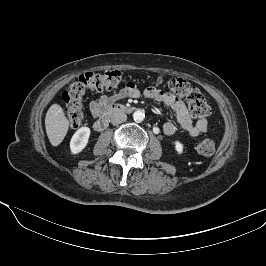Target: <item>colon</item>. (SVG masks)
Returning a JSON list of instances; mask_svg holds the SVG:
<instances>
[{
    "instance_id": "colon-1",
    "label": "colon",
    "mask_w": 266,
    "mask_h": 266,
    "mask_svg": "<svg viewBox=\"0 0 266 266\" xmlns=\"http://www.w3.org/2000/svg\"><path fill=\"white\" fill-rule=\"evenodd\" d=\"M123 78L122 72L110 70L102 73L87 72L72 82L62 94V100L67 107V119L70 127L78 128L82 124L84 118L82 101L86 92L116 89ZM159 83L167 87L171 94L185 99L195 117L206 119L209 115L210 107L205 96L187 81L172 78L166 81L161 79ZM215 146L213 139L205 138L197 144L196 150L200 155L210 157L215 152Z\"/></svg>"
}]
</instances>
